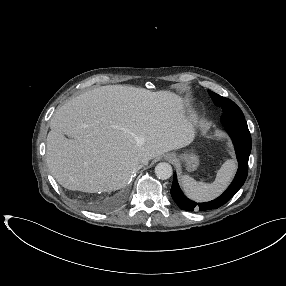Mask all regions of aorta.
Returning <instances> with one entry per match:
<instances>
[{
  "mask_svg": "<svg viewBox=\"0 0 286 286\" xmlns=\"http://www.w3.org/2000/svg\"><path fill=\"white\" fill-rule=\"evenodd\" d=\"M172 166L166 162H160L155 167V174L159 179L166 180L172 176Z\"/></svg>",
  "mask_w": 286,
  "mask_h": 286,
  "instance_id": "762f6f07",
  "label": "aorta"
}]
</instances>
